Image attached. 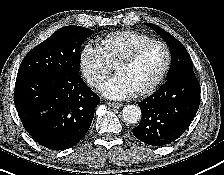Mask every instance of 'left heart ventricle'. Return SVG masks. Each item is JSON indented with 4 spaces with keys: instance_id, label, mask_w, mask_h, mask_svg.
Masks as SVG:
<instances>
[{
    "instance_id": "1",
    "label": "left heart ventricle",
    "mask_w": 224,
    "mask_h": 175,
    "mask_svg": "<svg viewBox=\"0 0 224 175\" xmlns=\"http://www.w3.org/2000/svg\"><path fill=\"white\" fill-rule=\"evenodd\" d=\"M164 60V49L160 45H151L133 63L121 66L116 72L136 92L156 78L164 64Z\"/></svg>"
}]
</instances>
